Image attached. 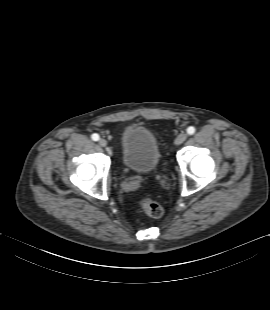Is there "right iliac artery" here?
<instances>
[{"label":"right iliac artery","mask_w":270,"mask_h":310,"mask_svg":"<svg viewBox=\"0 0 270 310\" xmlns=\"http://www.w3.org/2000/svg\"><path fill=\"white\" fill-rule=\"evenodd\" d=\"M91 138H92V140H94V141H98L100 137H99L98 134L94 133V134L91 136Z\"/></svg>","instance_id":"right-iliac-artery-1"}]
</instances>
